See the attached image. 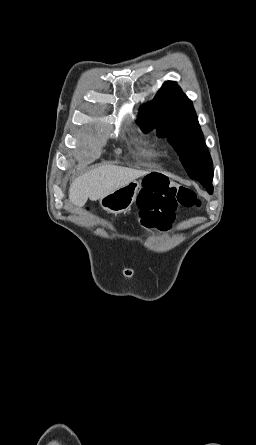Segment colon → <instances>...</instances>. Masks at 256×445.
Here are the masks:
<instances>
[{
	"label": "colon",
	"mask_w": 256,
	"mask_h": 445,
	"mask_svg": "<svg viewBox=\"0 0 256 445\" xmlns=\"http://www.w3.org/2000/svg\"><path fill=\"white\" fill-rule=\"evenodd\" d=\"M200 200L196 193L162 175L149 176L138 194L140 223L144 228L167 230L179 207L196 208Z\"/></svg>",
	"instance_id": "colon-1"
}]
</instances>
